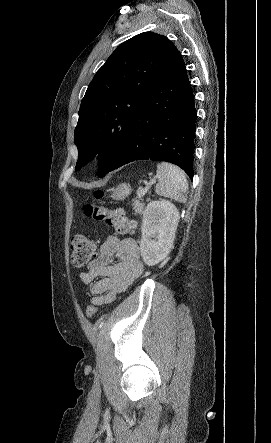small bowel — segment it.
I'll list each match as a JSON object with an SVG mask.
<instances>
[{
	"label": "small bowel",
	"instance_id": "small-bowel-1",
	"mask_svg": "<svg viewBox=\"0 0 271 443\" xmlns=\"http://www.w3.org/2000/svg\"><path fill=\"white\" fill-rule=\"evenodd\" d=\"M142 270L136 241L110 235L102 243L98 257L80 274V280L91 285V304L101 307L113 302L141 275Z\"/></svg>",
	"mask_w": 271,
	"mask_h": 443
}]
</instances>
